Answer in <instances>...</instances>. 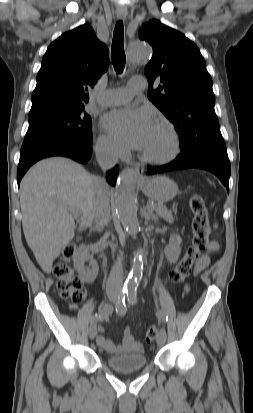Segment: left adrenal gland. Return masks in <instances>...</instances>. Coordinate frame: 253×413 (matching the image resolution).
<instances>
[{
  "label": "left adrenal gland",
  "mask_w": 253,
  "mask_h": 413,
  "mask_svg": "<svg viewBox=\"0 0 253 413\" xmlns=\"http://www.w3.org/2000/svg\"><path fill=\"white\" fill-rule=\"evenodd\" d=\"M143 217L145 218L146 221H149V220L157 221L158 220V218L153 214L152 210H149L146 207L143 210Z\"/></svg>",
  "instance_id": "a2214340"
}]
</instances>
